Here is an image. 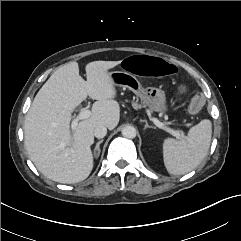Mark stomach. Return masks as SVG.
<instances>
[{"label":"stomach","mask_w":241,"mask_h":241,"mask_svg":"<svg viewBox=\"0 0 241 241\" xmlns=\"http://www.w3.org/2000/svg\"><path fill=\"white\" fill-rule=\"evenodd\" d=\"M117 86L132 90L151 111L164 113L167 111L165 92L159 88H143L136 74L128 71H113L109 73Z\"/></svg>","instance_id":"obj_1"}]
</instances>
